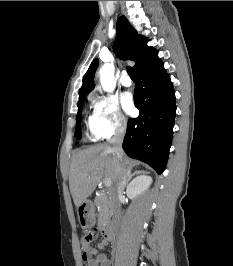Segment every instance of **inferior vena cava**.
<instances>
[{"label": "inferior vena cava", "instance_id": "obj_1", "mask_svg": "<svg viewBox=\"0 0 233 266\" xmlns=\"http://www.w3.org/2000/svg\"><path fill=\"white\" fill-rule=\"evenodd\" d=\"M125 132H126V123L119 124L116 128L114 137L110 140L113 155L118 163L117 178L112 187L113 211H114L112 223L114 226H117L119 222L120 209H121L119 198L123 194V191L127 183L128 174L130 172L127 163L124 159L125 156L122 149V143Z\"/></svg>", "mask_w": 233, "mask_h": 266}]
</instances>
